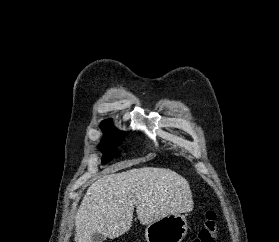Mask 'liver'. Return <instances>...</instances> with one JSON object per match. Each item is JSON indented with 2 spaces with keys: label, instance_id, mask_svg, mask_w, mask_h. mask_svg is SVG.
Segmentation results:
<instances>
[{
  "label": "liver",
  "instance_id": "liver-1",
  "mask_svg": "<svg viewBox=\"0 0 279 242\" xmlns=\"http://www.w3.org/2000/svg\"><path fill=\"white\" fill-rule=\"evenodd\" d=\"M103 175L87 190L75 217V242H92L98 232L110 239L127 232L134 207L149 225L170 214L193 210L188 181L166 168L143 167Z\"/></svg>",
  "mask_w": 279,
  "mask_h": 242
}]
</instances>
